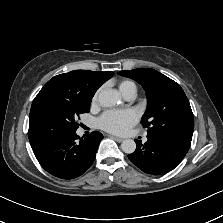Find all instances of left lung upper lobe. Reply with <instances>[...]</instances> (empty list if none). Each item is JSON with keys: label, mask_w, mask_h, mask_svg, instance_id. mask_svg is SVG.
Returning a JSON list of instances; mask_svg holds the SVG:
<instances>
[{"label": "left lung upper lobe", "mask_w": 223, "mask_h": 223, "mask_svg": "<svg viewBox=\"0 0 223 223\" xmlns=\"http://www.w3.org/2000/svg\"><path fill=\"white\" fill-rule=\"evenodd\" d=\"M142 85L148 106L141 123L148 134H160L191 143L194 117L190 103L178 83L150 68L120 71Z\"/></svg>", "instance_id": "5c2ea615"}]
</instances>
